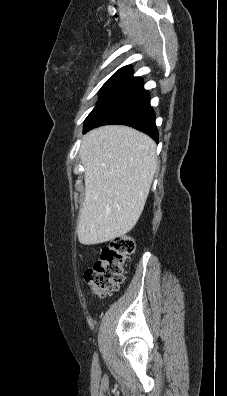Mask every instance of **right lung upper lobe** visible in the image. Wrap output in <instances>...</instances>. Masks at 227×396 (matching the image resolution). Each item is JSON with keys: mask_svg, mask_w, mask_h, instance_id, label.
Listing matches in <instances>:
<instances>
[{"mask_svg": "<svg viewBox=\"0 0 227 396\" xmlns=\"http://www.w3.org/2000/svg\"><path fill=\"white\" fill-rule=\"evenodd\" d=\"M120 70L133 71V69L130 66H124V67L120 68L118 71H120Z\"/></svg>", "mask_w": 227, "mask_h": 396, "instance_id": "cb5924a9", "label": "right lung upper lobe"}]
</instances>
